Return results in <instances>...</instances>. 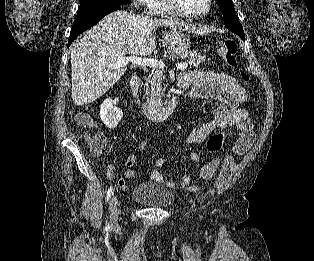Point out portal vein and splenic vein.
I'll return each instance as SVG.
<instances>
[{"label":"portal vein and splenic vein","mask_w":314,"mask_h":261,"mask_svg":"<svg viewBox=\"0 0 314 261\" xmlns=\"http://www.w3.org/2000/svg\"><path fill=\"white\" fill-rule=\"evenodd\" d=\"M131 62L136 65L144 66V67H151L156 69H163L165 67V64L162 60H157L154 58H142L137 56H130V57H123L118 62H116L114 65L111 66V68H119V67H125L128 65V63ZM188 64L186 62L178 63L176 64L177 69L185 70L187 68Z\"/></svg>","instance_id":"obj_1"}]
</instances>
